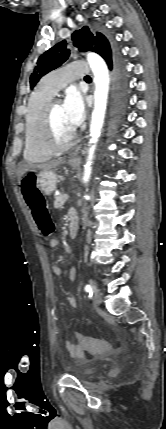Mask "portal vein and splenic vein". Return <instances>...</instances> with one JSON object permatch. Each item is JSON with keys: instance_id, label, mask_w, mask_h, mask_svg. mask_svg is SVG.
Masks as SVG:
<instances>
[{"instance_id": "portal-vein-and-splenic-vein-1", "label": "portal vein and splenic vein", "mask_w": 166, "mask_h": 429, "mask_svg": "<svg viewBox=\"0 0 166 429\" xmlns=\"http://www.w3.org/2000/svg\"><path fill=\"white\" fill-rule=\"evenodd\" d=\"M64 198H65V200H68V199H69V195H68V194H65V195H64Z\"/></svg>"}]
</instances>
